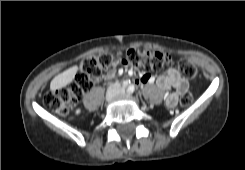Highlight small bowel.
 I'll return each mask as SVG.
<instances>
[{
    "label": "small bowel",
    "instance_id": "obj_1",
    "mask_svg": "<svg viewBox=\"0 0 245 170\" xmlns=\"http://www.w3.org/2000/svg\"><path fill=\"white\" fill-rule=\"evenodd\" d=\"M114 71L108 73V77H113ZM155 82V78L148 74H143L138 83L151 84ZM156 85L162 91L170 92L166 97V105L168 108H174L179 101L180 96L188 91L189 83L184 79L176 68L167 69L162 75L156 79Z\"/></svg>",
    "mask_w": 245,
    "mask_h": 170
}]
</instances>
